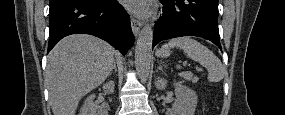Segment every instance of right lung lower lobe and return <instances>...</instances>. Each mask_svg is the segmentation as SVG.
I'll return each instance as SVG.
<instances>
[{
    "mask_svg": "<svg viewBox=\"0 0 285 115\" xmlns=\"http://www.w3.org/2000/svg\"><path fill=\"white\" fill-rule=\"evenodd\" d=\"M91 34L125 54L134 42L129 16L117 0H56L50 4L48 52L70 34Z\"/></svg>",
    "mask_w": 285,
    "mask_h": 115,
    "instance_id": "right-lung-lower-lobe-1",
    "label": "right lung lower lobe"
}]
</instances>
